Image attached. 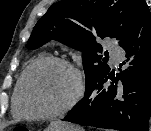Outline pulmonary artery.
I'll return each mask as SVG.
<instances>
[{
    "label": "pulmonary artery",
    "mask_w": 151,
    "mask_h": 131,
    "mask_svg": "<svg viewBox=\"0 0 151 131\" xmlns=\"http://www.w3.org/2000/svg\"><path fill=\"white\" fill-rule=\"evenodd\" d=\"M110 50H111L112 57L116 62L122 60L123 51L118 46L111 45Z\"/></svg>",
    "instance_id": "obj_1"
}]
</instances>
